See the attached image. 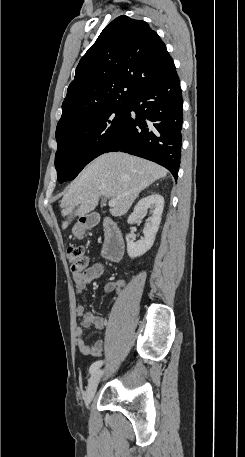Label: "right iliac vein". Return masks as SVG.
<instances>
[{
    "label": "right iliac vein",
    "instance_id": "1",
    "mask_svg": "<svg viewBox=\"0 0 245 457\" xmlns=\"http://www.w3.org/2000/svg\"><path fill=\"white\" fill-rule=\"evenodd\" d=\"M103 371L102 370H96L90 377L88 387L86 389L85 393V405L88 407L95 395V392L98 387V383L100 381V378L102 377Z\"/></svg>",
    "mask_w": 245,
    "mask_h": 457
}]
</instances>
